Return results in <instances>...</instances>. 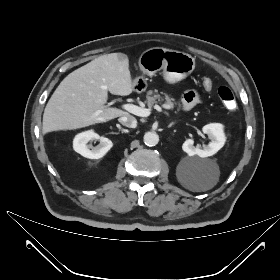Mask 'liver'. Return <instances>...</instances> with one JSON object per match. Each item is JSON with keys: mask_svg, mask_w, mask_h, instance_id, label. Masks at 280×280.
Here are the masks:
<instances>
[{"mask_svg": "<svg viewBox=\"0 0 280 280\" xmlns=\"http://www.w3.org/2000/svg\"><path fill=\"white\" fill-rule=\"evenodd\" d=\"M133 89L128 56H100L62 80L45 107L42 131L73 130L129 115L105 104L108 91L126 96Z\"/></svg>", "mask_w": 280, "mask_h": 280, "instance_id": "1", "label": "liver"}]
</instances>
